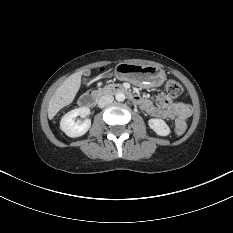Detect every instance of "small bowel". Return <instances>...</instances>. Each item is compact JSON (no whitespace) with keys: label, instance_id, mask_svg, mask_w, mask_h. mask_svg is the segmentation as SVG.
<instances>
[{"label":"small bowel","instance_id":"1","mask_svg":"<svg viewBox=\"0 0 233 233\" xmlns=\"http://www.w3.org/2000/svg\"><path fill=\"white\" fill-rule=\"evenodd\" d=\"M158 103L154 104L148 99H140L139 105L149 115L157 118L174 121L176 127L186 128L187 119L192 110L190 105L178 101H172L166 96H158Z\"/></svg>","mask_w":233,"mask_h":233}]
</instances>
